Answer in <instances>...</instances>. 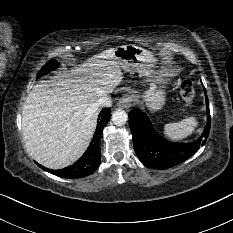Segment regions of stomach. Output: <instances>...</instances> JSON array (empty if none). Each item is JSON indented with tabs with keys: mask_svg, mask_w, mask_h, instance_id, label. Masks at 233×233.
Returning <instances> with one entry per match:
<instances>
[{
	"mask_svg": "<svg viewBox=\"0 0 233 233\" xmlns=\"http://www.w3.org/2000/svg\"><path fill=\"white\" fill-rule=\"evenodd\" d=\"M114 54L124 71H137L141 76L149 77L150 88L144 92L142 98L150 111L160 110L166 101L163 85L167 83V79L165 74L153 69L155 68L153 55L133 44L116 47Z\"/></svg>",
	"mask_w": 233,
	"mask_h": 233,
	"instance_id": "stomach-1",
	"label": "stomach"
}]
</instances>
